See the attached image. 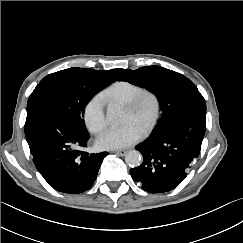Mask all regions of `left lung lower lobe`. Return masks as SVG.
<instances>
[{
	"mask_svg": "<svg viewBox=\"0 0 243 243\" xmlns=\"http://www.w3.org/2000/svg\"><path fill=\"white\" fill-rule=\"evenodd\" d=\"M205 131L206 104L176 115L162 132L136 146L143 155V163L130 170L133 180L151 193L176 188L199 156Z\"/></svg>",
	"mask_w": 243,
	"mask_h": 243,
	"instance_id": "1",
	"label": "left lung lower lobe"
}]
</instances>
